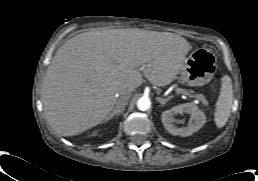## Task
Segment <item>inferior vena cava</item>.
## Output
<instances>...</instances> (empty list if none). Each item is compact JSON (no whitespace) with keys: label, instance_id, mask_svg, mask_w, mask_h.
<instances>
[{"label":"inferior vena cava","instance_id":"1","mask_svg":"<svg viewBox=\"0 0 258 181\" xmlns=\"http://www.w3.org/2000/svg\"><path fill=\"white\" fill-rule=\"evenodd\" d=\"M130 97H131L130 93H125V94H122L121 96H119L115 103L116 109H119V110L124 109L128 103V100L130 99Z\"/></svg>","mask_w":258,"mask_h":181}]
</instances>
